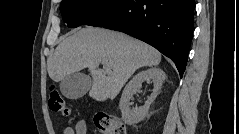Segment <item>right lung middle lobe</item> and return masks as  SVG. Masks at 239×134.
<instances>
[{
    "mask_svg": "<svg viewBox=\"0 0 239 134\" xmlns=\"http://www.w3.org/2000/svg\"><path fill=\"white\" fill-rule=\"evenodd\" d=\"M117 0H63L60 11L68 27H78Z\"/></svg>",
    "mask_w": 239,
    "mask_h": 134,
    "instance_id": "right-lung-middle-lobe-1",
    "label": "right lung middle lobe"
}]
</instances>
